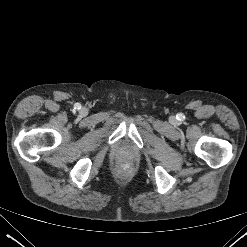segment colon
I'll use <instances>...</instances> for the list:
<instances>
[{"label":"colon","mask_w":247,"mask_h":247,"mask_svg":"<svg viewBox=\"0 0 247 247\" xmlns=\"http://www.w3.org/2000/svg\"><path fill=\"white\" fill-rule=\"evenodd\" d=\"M121 169H122L123 171H129V170L131 169V166L128 165V164H125V165H122V166H121Z\"/></svg>","instance_id":"5ec220e1"}]
</instances>
